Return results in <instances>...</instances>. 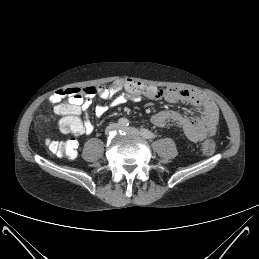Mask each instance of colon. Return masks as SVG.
<instances>
[{
	"label": "colon",
	"instance_id": "obj_1",
	"mask_svg": "<svg viewBox=\"0 0 259 259\" xmlns=\"http://www.w3.org/2000/svg\"><path fill=\"white\" fill-rule=\"evenodd\" d=\"M121 84L132 93H147L146 85L135 80L127 79L121 81ZM75 91H79L76 89ZM79 124L75 119H67L61 122L60 128L63 132L74 134L78 130ZM49 149L52 153L66 159H74L77 155L78 143L74 139L65 141H49ZM202 151L205 155L211 156L215 151V142L207 138L202 143Z\"/></svg>",
	"mask_w": 259,
	"mask_h": 259
}]
</instances>
